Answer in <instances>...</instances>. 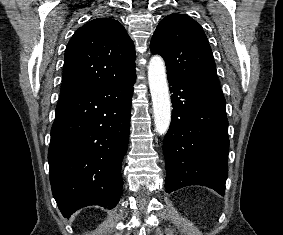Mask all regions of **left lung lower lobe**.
I'll return each mask as SVG.
<instances>
[{"mask_svg": "<svg viewBox=\"0 0 283 235\" xmlns=\"http://www.w3.org/2000/svg\"><path fill=\"white\" fill-rule=\"evenodd\" d=\"M172 120L164 138L165 189L209 187L224 195L228 174V120L221 88L168 75Z\"/></svg>", "mask_w": 283, "mask_h": 235, "instance_id": "obj_1", "label": "left lung lower lobe"}]
</instances>
